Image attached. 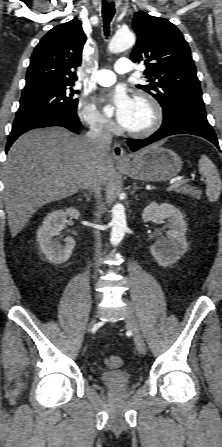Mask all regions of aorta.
Returning a JSON list of instances; mask_svg holds the SVG:
<instances>
[{"instance_id":"aorta-1","label":"aorta","mask_w":222,"mask_h":447,"mask_svg":"<svg viewBox=\"0 0 222 447\" xmlns=\"http://www.w3.org/2000/svg\"><path fill=\"white\" fill-rule=\"evenodd\" d=\"M135 43V35L131 31H118L111 39L108 49L111 53L123 52ZM106 107L105 109H107ZM111 244L117 245L124 237L127 229L125 208L122 204H115L112 208Z\"/></svg>"}]
</instances>
